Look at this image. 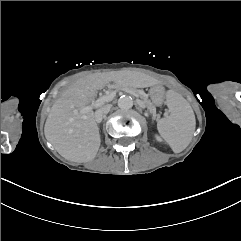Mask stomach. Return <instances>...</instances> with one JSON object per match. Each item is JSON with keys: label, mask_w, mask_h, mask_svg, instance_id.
Masks as SVG:
<instances>
[{"label": "stomach", "mask_w": 241, "mask_h": 241, "mask_svg": "<svg viewBox=\"0 0 241 241\" xmlns=\"http://www.w3.org/2000/svg\"><path fill=\"white\" fill-rule=\"evenodd\" d=\"M149 96L152 100V102L159 106L164 102V98H165V90L161 85L152 87L149 90Z\"/></svg>", "instance_id": "0dacf381"}]
</instances>
